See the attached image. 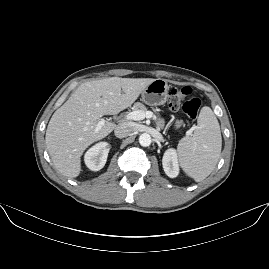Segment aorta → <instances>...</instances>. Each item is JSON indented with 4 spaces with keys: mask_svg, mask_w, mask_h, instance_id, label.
<instances>
[{
    "mask_svg": "<svg viewBox=\"0 0 269 269\" xmlns=\"http://www.w3.org/2000/svg\"><path fill=\"white\" fill-rule=\"evenodd\" d=\"M139 144L142 146V147H148L152 144V139H151V136L147 133H144L142 135H140L139 137Z\"/></svg>",
    "mask_w": 269,
    "mask_h": 269,
    "instance_id": "aorta-1",
    "label": "aorta"
}]
</instances>
